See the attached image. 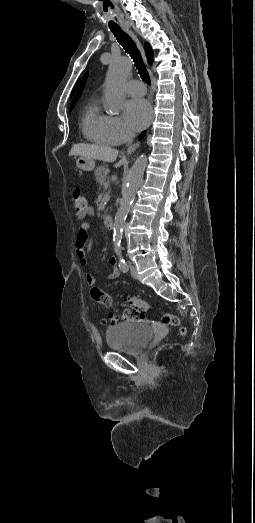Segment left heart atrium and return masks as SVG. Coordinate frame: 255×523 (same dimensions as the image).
Masks as SVG:
<instances>
[{"mask_svg":"<svg viewBox=\"0 0 255 523\" xmlns=\"http://www.w3.org/2000/svg\"><path fill=\"white\" fill-rule=\"evenodd\" d=\"M152 115L151 105L144 98L131 99L125 107V117L128 125L133 129L144 127Z\"/></svg>","mask_w":255,"mask_h":523,"instance_id":"left-heart-atrium-1","label":"left heart atrium"}]
</instances>
